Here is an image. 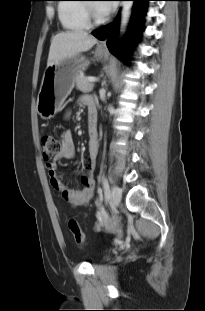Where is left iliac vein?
<instances>
[{
  "label": "left iliac vein",
  "instance_id": "obj_1",
  "mask_svg": "<svg viewBox=\"0 0 205 311\" xmlns=\"http://www.w3.org/2000/svg\"><path fill=\"white\" fill-rule=\"evenodd\" d=\"M121 197H122L121 189L118 186L114 185L111 189V203H112V208L114 210H116V207L120 203Z\"/></svg>",
  "mask_w": 205,
  "mask_h": 311
}]
</instances>
